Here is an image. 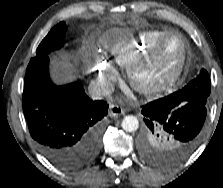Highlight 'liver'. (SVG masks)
I'll use <instances>...</instances> for the list:
<instances>
[{"mask_svg": "<svg viewBox=\"0 0 223 188\" xmlns=\"http://www.w3.org/2000/svg\"><path fill=\"white\" fill-rule=\"evenodd\" d=\"M86 50V47H84L81 51L83 57L86 56ZM53 70L56 72L57 77L60 78V80L65 81L72 76L74 67L72 63L69 62L68 58L63 56L61 58L53 59Z\"/></svg>", "mask_w": 223, "mask_h": 188, "instance_id": "6515ba94", "label": "liver"}]
</instances>
